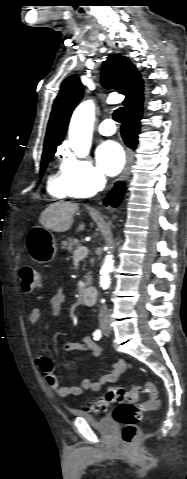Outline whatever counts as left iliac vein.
Returning <instances> with one entry per match:
<instances>
[{
  "label": "left iliac vein",
  "mask_w": 187,
  "mask_h": 479,
  "mask_svg": "<svg viewBox=\"0 0 187 479\" xmlns=\"http://www.w3.org/2000/svg\"><path fill=\"white\" fill-rule=\"evenodd\" d=\"M103 333H104L105 336H109V335H110V333H111V328H110V326H109L108 323L106 324V327L103 329Z\"/></svg>",
  "instance_id": "left-iliac-vein-1"
}]
</instances>
